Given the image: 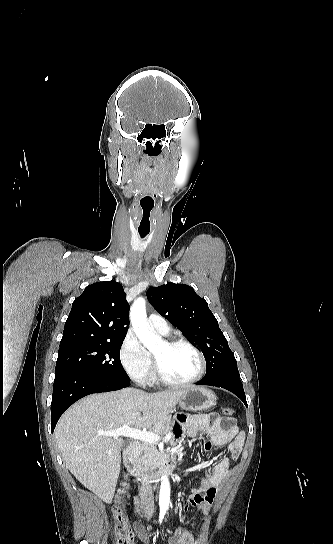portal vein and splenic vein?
I'll return each mask as SVG.
<instances>
[{
	"mask_svg": "<svg viewBox=\"0 0 333 544\" xmlns=\"http://www.w3.org/2000/svg\"><path fill=\"white\" fill-rule=\"evenodd\" d=\"M101 434L105 436L116 437V438L120 436H125L132 439L147 441L150 443H156L157 441L161 439V437L157 433H153L150 431H142L136 428H131L128 424H125L122 427L112 431L101 432ZM170 438H171V435L168 434L166 435L165 438H163V440L165 441L170 440Z\"/></svg>",
	"mask_w": 333,
	"mask_h": 544,
	"instance_id": "1",
	"label": "portal vein and splenic vein"
}]
</instances>
